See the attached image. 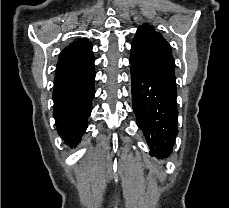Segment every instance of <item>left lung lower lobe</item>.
Wrapping results in <instances>:
<instances>
[{
    "label": "left lung lower lobe",
    "mask_w": 229,
    "mask_h": 208,
    "mask_svg": "<svg viewBox=\"0 0 229 208\" xmlns=\"http://www.w3.org/2000/svg\"><path fill=\"white\" fill-rule=\"evenodd\" d=\"M130 64L132 105L137 125L144 133L150 155L166 158L178 134L177 91L152 80L134 61L130 60Z\"/></svg>",
    "instance_id": "obj_1"
}]
</instances>
